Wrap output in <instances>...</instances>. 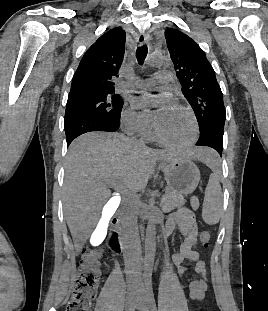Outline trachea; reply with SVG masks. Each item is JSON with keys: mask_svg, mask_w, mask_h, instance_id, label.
Returning a JSON list of instances; mask_svg holds the SVG:
<instances>
[{"mask_svg": "<svg viewBox=\"0 0 268 311\" xmlns=\"http://www.w3.org/2000/svg\"><path fill=\"white\" fill-rule=\"evenodd\" d=\"M147 53H148V48L146 45H142V46L137 48L136 57H137V61L140 65H143L145 58L147 56Z\"/></svg>", "mask_w": 268, "mask_h": 311, "instance_id": "trachea-1", "label": "trachea"}]
</instances>
